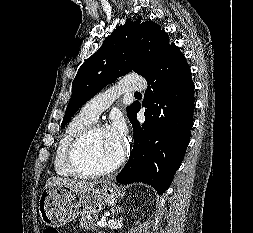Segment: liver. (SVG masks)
<instances>
[{"instance_id": "liver-1", "label": "liver", "mask_w": 253, "mask_h": 233, "mask_svg": "<svg viewBox=\"0 0 253 233\" xmlns=\"http://www.w3.org/2000/svg\"><path fill=\"white\" fill-rule=\"evenodd\" d=\"M97 184L98 182H82L68 178L50 177L46 181L45 187L65 186L75 192H83L88 189L94 188Z\"/></svg>"}]
</instances>
